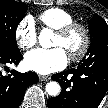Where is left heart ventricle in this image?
Segmentation results:
<instances>
[{
	"instance_id": "obj_1",
	"label": "left heart ventricle",
	"mask_w": 108,
	"mask_h": 108,
	"mask_svg": "<svg viewBox=\"0 0 108 108\" xmlns=\"http://www.w3.org/2000/svg\"><path fill=\"white\" fill-rule=\"evenodd\" d=\"M82 45V36L79 33H74L70 37L63 39L57 34L53 41V46L61 47L66 53L77 51Z\"/></svg>"
}]
</instances>
